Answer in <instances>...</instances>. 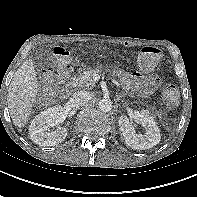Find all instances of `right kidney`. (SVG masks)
I'll use <instances>...</instances> for the list:
<instances>
[{"mask_svg":"<svg viewBox=\"0 0 197 197\" xmlns=\"http://www.w3.org/2000/svg\"><path fill=\"white\" fill-rule=\"evenodd\" d=\"M63 108L51 107L36 115L29 126L30 139L39 146H54L67 136V129L59 127L50 132V126L62 120Z\"/></svg>","mask_w":197,"mask_h":197,"instance_id":"ca27d5eb","label":"right kidney"}]
</instances>
